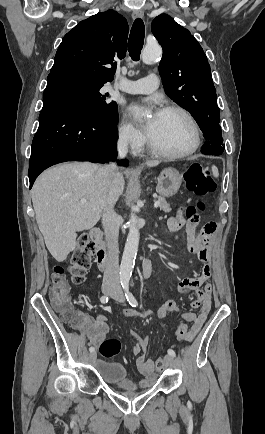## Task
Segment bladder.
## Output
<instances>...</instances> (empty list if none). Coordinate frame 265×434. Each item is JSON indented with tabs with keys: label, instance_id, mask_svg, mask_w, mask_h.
I'll list each match as a JSON object with an SVG mask.
<instances>
[{
	"label": "bladder",
	"instance_id": "1",
	"mask_svg": "<svg viewBox=\"0 0 265 434\" xmlns=\"http://www.w3.org/2000/svg\"><path fill=\"white\" fill-rule=\"evenodd\" d=\"M97 371L100 377L108 384L127 396H135L141 392L140 387L127 376L125 367L118 362H99Z\"/></svg>",
	"mask_w": 265,
	"mask_h": 434
}]
</instances>
